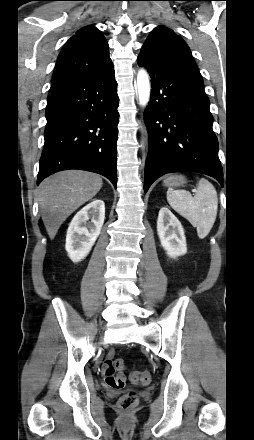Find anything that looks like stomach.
Wrapping results in <instances>:
<instances>
[{"instance_id": "1", "label": "stomach", "mask_w": 254, "mask_h": 440, "mask_svg": "<svg viewBox=\"0 0 254 440\" xmlns=\"http://www.w3.org/2000/svg\"><path fill=\"white\" fill-rule=\"evenodd\" d=\"M186 183V179L182 175H171L164 180V185L168 187H179Z\"/></svg>"}]
</instances>
